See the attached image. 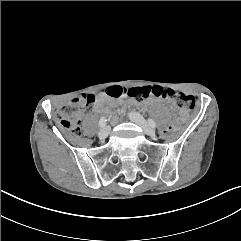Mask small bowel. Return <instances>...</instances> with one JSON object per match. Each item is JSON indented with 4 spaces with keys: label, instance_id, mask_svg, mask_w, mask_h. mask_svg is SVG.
Returning <instances> with one entry per match:
<instances>
[{
    "label": "small bowel",
    "instance_id": "1",
    "mask_svg": "<svg viewBox=\"0 0 241 241\" xmlns=\"http://www.w3.org/2000/svg\"><path fill=\"white\" fill-rule=\"evenodd\" d=\"M148 103H152L154 102V99L153 98H150L148 101ZM170 108L173 109V110H176V107L172 104V103H168ZM181 114H183L184 112L183 111H180Z\"/></svg>",
    "mask_w": 241,
    "mask_h": 241
}]
</instances>
